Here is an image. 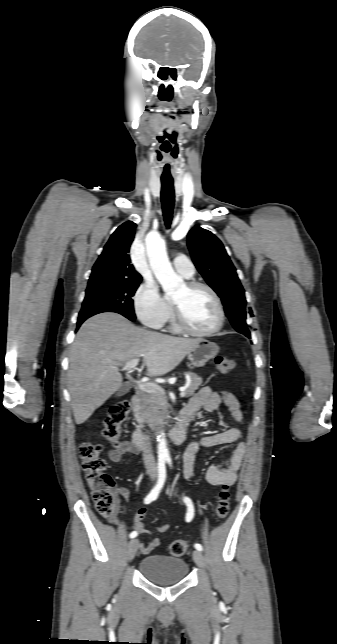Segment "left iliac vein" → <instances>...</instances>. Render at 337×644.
<instances>
[{"mask_svg":"<svg viewBox=\"0 0 337 644\" xmlns=\"http://www.w3.org/2000/svg\"><path fill=\"white\" fill-rule=\"evenodd\" d=\"M192 555L196 565L200 568L204 567L205 561L203 554L199 550H194Z\"/></svg>","mask_w":337,"mask_h":644,"instance_id":"obj_1","label":"left iliac vein"}]
</instances>
